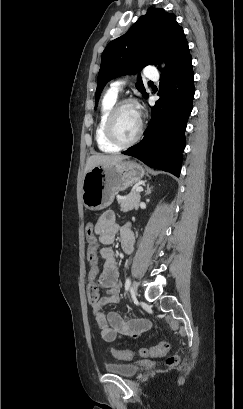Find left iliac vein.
<instances>
[{
  "mask_svg": "<svg viewBox=\"0 0 243 409\" xmlns=\"http://www.w3.org/2000/svg\"><path fill=\"white\" fill-rule=\"evenodd\" d=\"M132 293H133L134 297L137 296V290H136L135 285L132 287Z\"/></svg>",
  "mask_w": 243,
  "mask_h": 409,
  "instance_id": "left-iliac-vein-1",
  "label": "left iliac vein"
}]
</instances>
